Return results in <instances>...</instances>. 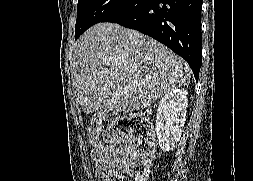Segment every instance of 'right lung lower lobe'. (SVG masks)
<instances>
[{"mask_svg":"<svg viewBox=\"0 0 253 181\" xmlns=\"http://www.w3.org/2000/svg\"><path fill=\"white\" fill-rule=\"evenodd\" d=\"M201 2L128 0L102 22L118 23L163 43L188 62L198 80L202 62Z\"/></svg>","mask_w":253,"mask_h":181,"instance_id":"obj_1","label":"right lung lower lobe"}]
</instances>
